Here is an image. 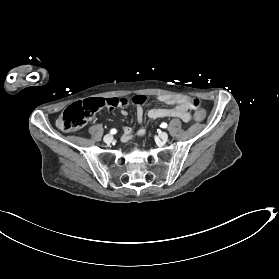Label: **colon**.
I'll return each instance as SVG.
<instances>
[{"mask_svg": "<svg viewBox=\"0 0 279 279\" xmlns=\"http://www.w3.org/2000/svg\"><path fill=\"white\" fill-rule=\"evenodd\" d=\"M190 108L196 110L194 118L201 122L205 118V111L199 108V101L197 99L182 96L180 97ZM146 101L143 95H136L132 99L127 98H94L82 102L74 103L67 107L59 116L57 120L58 126L64 131H77L81 129L95 113L103 107H123L130 103L142 105Z\"/></svg>", "mask_w": 279, "mask_h": 279, "instance_id": "5ec220e1", "label": "colon"}]
</instances>
